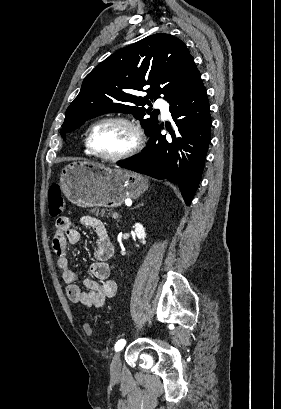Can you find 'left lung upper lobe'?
Wrapping results in <instances>:
<instances>
[{"label":"left lung upper lobe","instance_id":"5c2ea615","mask_svg":"<svg viewBox=\"0 0 281 409\" xmlns=\"http://www.w3.org/2000/svg\"><path fill=\"white\" fill-rule=\"evenodd\" d=\"M197 68L186 45L166 33L148 36L114 53L84 79L81 91L66 110L60 134L80 127L86 120L108 112L131 113L148 136L158 126L159 110L144 105L164 95L170 101L190 83ZM150 86L144 98L138 91ZM142 106V107H138ZM150 118H144L146 114Z\"/></svg>","mask_w":281,"mask_h":409}]
</instances>
